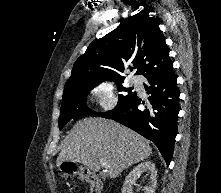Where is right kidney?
Returning <instances> with one entry per match:
<instances>
[{
	"label": "right kidney",
	"instance_id": "1",
	"mask_svg": "<svg viewBox=\"0 0 221 193\" xmlns=\"http://www.w3.org/2000/svg\"><path fill=\"white\" fill-rule=\"evenodd\" d=\"M143 171H148L150 174L148 184L143 189L144 193H155L157 185V170L155 164L151 161L142 162L129 173L123 184L122 193H132V186Z\"/></svg>",
	"mask_w": 221,
	"mask_h": 193
}]
</instances>
